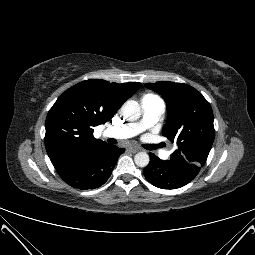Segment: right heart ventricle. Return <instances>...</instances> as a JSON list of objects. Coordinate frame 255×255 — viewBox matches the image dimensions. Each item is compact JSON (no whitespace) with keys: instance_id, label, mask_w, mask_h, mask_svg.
<instances>
[{"instance_id":"right-heart-ventricle-1","label":"right heart ventricle","mask_w":255,"mask_h":255,"mask_svg":"<svg viewBox=\"0 0 255 255\" xmlns=\"http://www.w3.org/2000/svg\"><path fill=\"white\" fill-rule=\"evenodd\" d=\"M152 97H155V96L152 95V94H147V95H145V96L143 97V99H145V98H152Z\"/></svg>"}]
</instances>
